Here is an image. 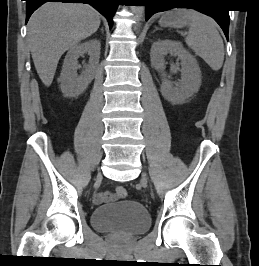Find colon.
<instances>
[{
	"label": "colon",
	"mask_w": 259,
	"mask_h": 266,
	"mask_svg": "<svg viewBox=\"0 0 259 266\" xmlns=\"http://www.w3.org/2000/svg\"><path fill=\"white\" fill-rule=\"evenodd\" d=\"M115 194L118 198L122 199L125 198L127 195V190L123 186H118L115 190Z\"/></svg>",
	"instance_id": "obj_1"
}]
</instances>
